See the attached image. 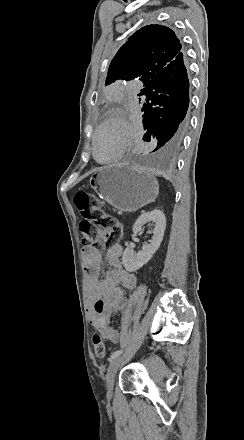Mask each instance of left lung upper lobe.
I'll return each instance as SVG.
<instances>
[{
	"label": "left lung upper lobe",
	"mask_w": 244,
	"mask_h": 440,
	"mask_svg": "<svg viewBox=\"0 0 244 440\" xmlns=\"http://www.w3.org/2000/svg\"><path fill=\"white\" fill-rule=\"evenodd\" d=\"M181 51L182 45L170 28L162 25L142 27L116 53L105 85L139 78L145 86L161 70L182 61Z\"/></svg>",
	"instance_id": "1"
}]
</instances>
